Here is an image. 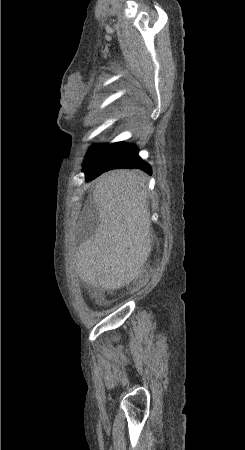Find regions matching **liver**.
<instances>
[{
	"instance_id": "obj_1",
	"label": "liver",
	"mask_w": 245,
	"mask_h": 450,
	"mask_svg": "<svg viewBox=\"0 0 245 450\" xmlns=\"http://www.w3.org/2000/svg\"><path fill=\"white\" fill-rule=\"evenodd\" d=\"M146 194L145 177L136 170H112L95 180L99 224L75 254L83 282L116 290L139 275L151 250Z\"/></svg>"
}]
</instances>
